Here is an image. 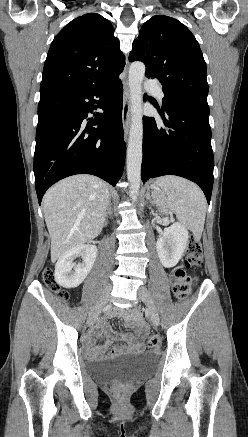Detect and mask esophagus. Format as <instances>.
Listing matches in <instances>:
<instances>
[{
  "mask_svg": "<svg viewBox=\"0 0 248 437\" xmlns=\"http://www.w3.org/2000/svg\"><path fill=\"white\" fill-rule=\"evenodd\" d=\"M125 71L127 72V67ZM130 111H131V96H130L129 88L127 86V81H124L122 122H123V129L126 139L130 128Z\"/></svg>",
  "mask_w": 248,
  "mask_h": 437,
  "instance_id": "obj_1",
  "label": "esophagus"
}]
</instances>
